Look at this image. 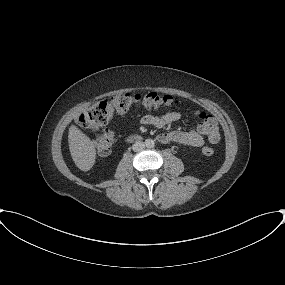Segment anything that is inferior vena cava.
Wrapping results in <instances>:
<instances>
[{
    "label": "inferior vena cava",
    "instance_id": "602c4592",
    "mask_svg": "<svg viewBox=\"0 0 285 285\" xmlns=\"http://www.w3.org/2000/svg\"><path fill=\"white\" fill-rule=\"evenodd\" d=\"M132 149L134 152H140L145 149V144L141 141H137L133 144Z\"/></svg>",
    "mask_w": 285,
    "mask_h": 285
}]
</instances>
